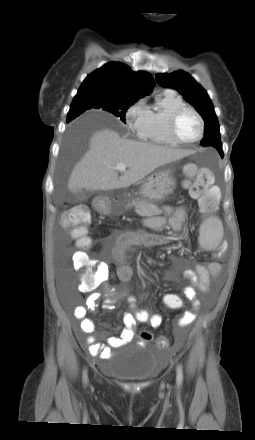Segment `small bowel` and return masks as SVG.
Masks as SVG:
<instances>
[{"mask_svg": "<svg viewBox=\"0 0 255 440\" xmlns=\"http://www.w3.org/2000/svg\"><path fill=\"white\" fill-rule=\"evenodd\" d=\"M164 216H154L146 218L144 225L150 231H128L120 234L112 249V258L116 266V274L122 283L130 281L133 271L127 261V252L138 245L157 246L165 244L169 241V237L158 233L167 223L172 230L179 232L186 218V210L183 207L172 208L165 206L163 208ZM97 275L96 285L107 281L110 277L109 264L104 261L96 263ZM221 266L218 262L213 261L208 265L196 264L195 269L184 270L183 277L190 282L184 287V297L195 307L199 306L197 299V290L207 292L210 287L211 277L219 275ZM105 301L103 308L110 310L115 302L126 297L132 309V312L125 313V328L118 337H108L106 344L96 342L93 336L80 338L81 343L87 348L88 352L100 359H110L113 355V348L121 346L134 337V327L137 322L147 323L152 327H158L162 323L159 314H152L144 309H138L136 299L125 288H115L110 285L104 286ZM100 298L98 293L91 294L86 306H77L73 309V316L80 322V330L85 334H90L95 330L94 321L87 316L88 310H96L98 308L97 301ZM162 298H182L176 293H167ZM196 318L194 311H185L178 320L180 327H185Z\"/></svg>", "mask_w": 255, "mask_h": 440, "instance_id": "obj_1", "label": "small bowel"}]
</instances>
